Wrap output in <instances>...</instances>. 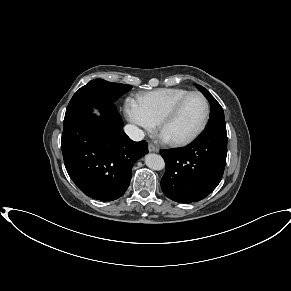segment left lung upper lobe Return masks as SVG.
I'll list each match as a JSON object with an SVG mask.
<instances>
[{
	"mask_svg": "<svg viewBox=\"0 0 291 291\" xmlns=\"http://www.w3.org/2000/svg\"><path fill=\"white\" fill-rule=\"evenodd\" d=\"M195 86L197 87L198 90H200L203 93V95L207 98L211 106L210 119L206 128L226 126L223 109L217 102V100L204 87L197 84H195Z\"/></svg>",
	"mask_w": 291,
	"mask_h": 291,
	"instance_id": "left-lung-upper-lobe-1",
	"label": "left lung upper lobe"
}]
</instances>
